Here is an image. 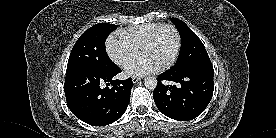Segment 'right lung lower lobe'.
<instances>
[{
  "label": "right lung lower lobe",
  "mask_w": 276,
  "mask_h": 138,
  "mask_svg": "<svg viewBox=\"0 0 276 138\" xmlns=\"http://www.w3.org/2000/svg\"><path fill=\"white\" fill-rule=\"evenodd\" d=\"M120 72L114 65L109 70L82 69L66 74L64 92L72 113L92 126L117 121L127 109L133 86L131 78L113 79ZM103 82L107 87H102Z\"/></svg>",
  "instance_id": "1"
}]
</instances>
